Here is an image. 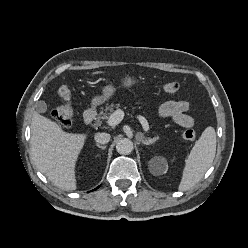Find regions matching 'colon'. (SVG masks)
Listing matches in <instances>:
<instances>
[{
	"instance_id": "obj_1",
	"label": "colon",
	"mask_w": 248,
	"mask_h": 248,
	"mask_svg": "<svg viewBox=\"0 0 248 248\" xmlns=\"http://www.w3.org/2000/svg\"><path fill=\"white\" fill-rule=\"evenodd\" d=\"M180 88L178 82H166L162 86V90L166 94H174ZM58 94L62 100V104L52 112L54 121L62 128H69L73 120V107L71 104V90L67 85H62ZM183 138L188 141H193L196 138V132L192 128H187L183 132Z\"/></svg>"
}]
</instances>
